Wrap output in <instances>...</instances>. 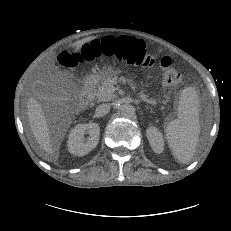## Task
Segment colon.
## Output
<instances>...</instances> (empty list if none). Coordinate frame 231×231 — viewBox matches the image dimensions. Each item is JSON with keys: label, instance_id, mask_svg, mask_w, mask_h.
Here are the masks:
<instances>
[{"label": "colon", "instance_id": "1", "mask_svg": "<svg viewBox=\"0 0 231 231\" xmlns=\"http://www.w3.org/2000/svg\"><path fill=\"white\" fill-rule=\"evenodd\" d=\"M101 56L115 58L130 65L140 67L159 66L163 70L164 83L167 86H177L181 82V73L173 65V60L165 56L160 60L149 54L142 40L130 37H106L102 40H94L83 48V54L63 52L60 62L66 67L76 66L83 58L94 60Z\"/></svg>", "mask_w": 231, "mask_h": 231}]
</instances>
